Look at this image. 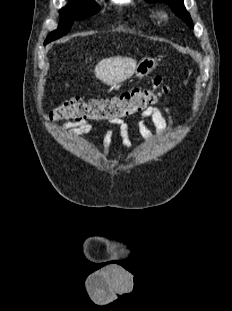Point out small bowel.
I'll use <instances>...</instances> for the list:
<instances>
[{
  "label": "small bowel",
  "instance_id": "obj_1",
  "mask_svg": "<svg viewBox=\"0 0 232 311\" xmlns=\"http://www.w3.org/2000/svg\"><path fill=\"white\" fill-rule=\"evenodd\" d=\"M110 125H115L123 138V148L120 152L119 159H122L129 149L130 128L124 121H109ZM149 124L155 128L157 135H164L172 130L175 126L174 120L166 107L159 108L151 106L143 111L138 121V132L147 144L154 140L155 133L151 130ZM67 136H77L87 134L92 131L93 126L88 122H66L61 128ZM112 137V130L109 127L104 129L103 135V153L107 154Z\"/></svg>",
  "mask_w": 232,
  "mask_h": 311
}]
</instances>
